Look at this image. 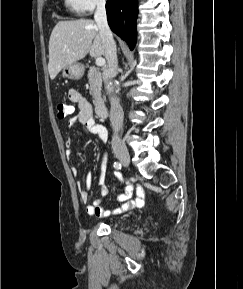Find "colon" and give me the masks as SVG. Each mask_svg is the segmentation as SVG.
<instances>
[{"label":"colon","mask_w":243,"mask_h":289,"mask_svg":"<svg viewBox=\"0 0 243 289\" xmlns=\"http://www.w3.org/2000/svg\"><path fill=\"white\" fill-rule=\"evenodd\" d=\"M73 112V107L66 103L57 104V115L59 118L63 119L68 117Z\"/></svg>","instance_id":"obj_1"}]
</instances>
